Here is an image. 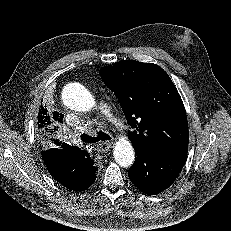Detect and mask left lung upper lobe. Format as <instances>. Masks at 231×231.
Returning a JSON list of instances; mask_svg holds the SVG:
<instances>
[{"instance_id":"left-lung-upper-lobe-1","label":"left lung upper lobe","mask_w":231,"mask_h":231,"mask_svg":"<svg viewBox=\"0 0 231 231\" xmlns=\"http://www.w3.org/2000/svg\"><path fill=\"white\" fill-rule=\"evenodd\" d=\"M100 76L121 104L134 148L166 157H186L188 123L182 99L158 65L120 61L100 69Z\"/></svg>"}]
</instances>
